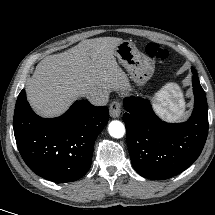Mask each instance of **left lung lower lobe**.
I'll list each match as a JSON object with an SVG mask.
<instances>
[{"label":"left lung lower lobe","mask_w":215,"mask_h":215,"mask_svg":"<svg viewBox=\"0 0 215 215\" xmlns=\"http://www.w3.org/2000/svg\"><path fill=\"white\" fill-rule=\"evenodd\" d=\"M195 96L190 118L183 123L162 121L149 100L126 97L123 121L134 169L143 177L164 180L187 169L200 155L208 134L206 95L192 68Z\"/></svg>","instance_id":"obj_1"}]
</instances>
